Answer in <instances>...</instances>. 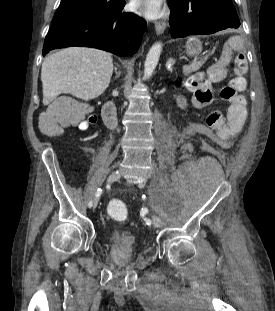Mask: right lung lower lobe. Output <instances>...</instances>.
Listing matches in <instances>:
<instances>
[{"mask_svg":"<svg viewBox=\"0 0 275 311\" xmlns=\"http://www.w3.org/2000/svg\"><path fill=\"white\" fill-rule=\"evenodd\" d=\"M125 1L102 10L86 12L53 21L43 46L50 50L72 46L93 47L116 55L135 54L140 46L146 21L133 13L122 12Z\"/></svg>","mask_w":275,"mask_h":311,"instance_id":"98d812e1","label":"right lung lower lobe"}]
</instances>
